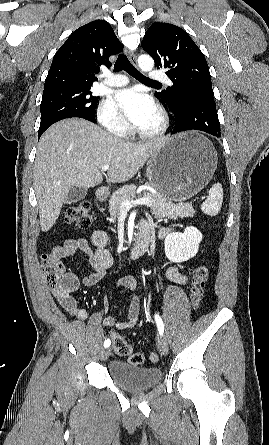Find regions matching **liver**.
<instances>
[{"label": "liver", "instance_id": "1", "mask_svg": "<svg viewBox=\"0 0 269 445\" xmlns=\"http://www.w3.org/2000/svg\"><path fill=\"white\" fill-rule=\"evenodd\" d=\"M167 140L126 142L81 118L51 126L40 138L34 164L41 230L53 227L73 186L87 189L101 184L104 165L110 166L108 182H126Z\"/></svg>", "mask_w": 269, "mask_h": 445}]
</instances>
